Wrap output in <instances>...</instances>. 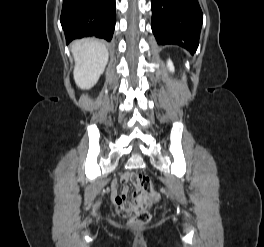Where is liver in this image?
Wrapping results in <instances>:
<instances>
[{
    "label": "liver",
    "instance_id": "liver-1",
    "mask_svg": "<svg viewBox=\"0 0 264 247\" xmlns=\"http://www.w3.org/2000/svg\"><path fill=\"white\" fill-rule=\"evenodd\" d=\"M71 51L75 59L73 76L76 85L81 89L92 88L108 62L104 43L96 39H82L72 43Z\"/></svg>",
    "mask_w": 264,
    "mask_h": 247
}]
</instances>
